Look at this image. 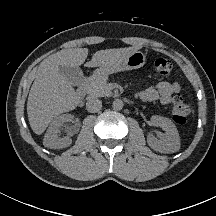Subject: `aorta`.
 Here are the masks:
<instances>
[{
    "label": "aorta",
    "mask_w": 216,
    "mask_h": 216,
    "mask_svg": "<svg viewBox=\"0 0 216 216\" xmlns=\"http://www.w3.org/2000/svg\"><path fill=\"white\" fill-rule=\"evenodd\" d=\"M123 101L121 99H115L113 101L112 107L114 110H121L123 108Z\"/></svg>",
    "instance_id": "aorta-1"
}]
</instances>
